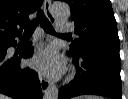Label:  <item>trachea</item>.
Returning a JSON list of instances; mask_svg holds the SVG:
<instances>
[{
	"label": "trachea",
	"instance_id": "3493384b",
	"mask_svg": "<svg viewBox=\"0 0 128 99\" xmlns=\"http://www.w3.org/2000/svg\"><path fill=\"white\" fill-rule=\"evenodd\" d=\"M39 23L41 24L45 32L50 33V34H56L52 24L44 15L43 10L40 9L37 13V17L32 21V23L28 27L25 28L23 36L24 37L31 36L36 26L39 25ZM58 35H67V34H58Z\"/></svg>",
	"mask_w": 128,
	"mask_h": 99
}]
</instances>
